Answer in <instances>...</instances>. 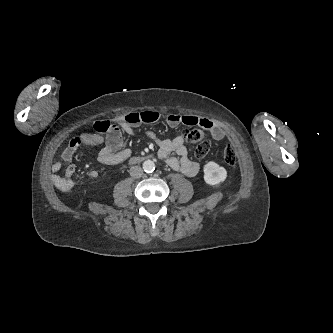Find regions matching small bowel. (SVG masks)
Segmentation results:
<instances>
[{
  "label": "small bowel",
  "instance_id": "small-bowel-1",
  "mask_svg": "<svg viewBox=\"0 0 333 333\" xmlns=\"http://www.w3.org/2000/svg\"><path fill=\"white\" fill-rule=\"evenodd\" d=\"M158 119L159 113L156 111L130 112L117 119V129L109 134L83 133L72 138L61 153L60 160L55 162L51 167L52 182L58 189L64 192L70 191L79 184V181L73 178L76 166L71 161L76 151L83 145L92 146L105 143V146L98 154V160L102 164L116 165L126 161L131 156V151L123 148L121 130L133 134L141 124L153 123ZM167 123L172 127L179 125L200 126L207 130L214 140H221L225 135L224 130L219 125L205 117L170 114L167 117ZM147 136L158 146V156L165 160L172 169L190 177L196 176L199 173L200 165L189 158L183 135H179L174 139H160L155 133L149 131L147 132ZM171 153H175L177 157L170 156ZM65 164L67 167L65 168L64 175H58L57 173ZM89 175L92 178H96L98 172L92 170Z\"/></svg>",
  "mask_w": 333,
  "mask_h": 333
}]
</instances>
